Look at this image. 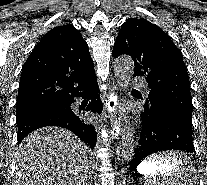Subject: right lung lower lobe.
I'll return each instance as SVG.
<instances>
[{"mask_svg":"<svg viewBox=\"0 0 207 185\" xmlns=\"http://www.w3.org/2000/svg\"><path fill=\"white\" fill-rule=\"evenodd\" d=\"M99 87L96 78L90 82L76 86L57 107L35 112L17 120L18 144L32 131L46 126H58L71 130L81 140L87 142L91 148L96 144L98 127L92 124L87 114L71 107L75 102L74 97L81 96L91 101L84 108L85 112H98L102 110L101 100L98 96Z\"/></svg>","mask_w":207,"mask_h":185,"instance_id":"1","label":"right lung lower lobe"}]
</instances>
